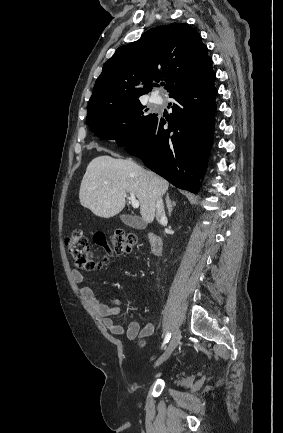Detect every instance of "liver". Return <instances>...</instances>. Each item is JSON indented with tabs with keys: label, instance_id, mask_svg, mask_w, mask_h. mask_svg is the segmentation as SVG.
I'll list each match as a JSON object with an SVG mask.
<instances>
[{
	"label": "liver",
	"instance_id": "liver-1",
	"mask_svg": "<svg viewBox=\"0 0 283 433\" xmlns=\"http://www.w3.org/2000/svg\"><path fill=\"white\" fill-rule=\"evenodd\" d=\"M169 182L150 170H145L131 158L96 156L89 162L81 180L79 198L97 217H114L125 206L132 190L140 202L144 223H153L156 200L168 190Z\"/></svg>",
	"mask_w": 283,
	"mask_h": 433
}]
</instances>
